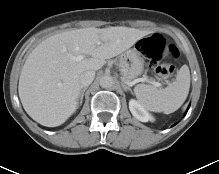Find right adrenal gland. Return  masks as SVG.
<instances>
[{
    "label": "right adrenal gland",
    "mask_w": 219,
    "mask_h": 174,
    "mask_svg": "<svg viewBox=\"0 0 219 174\" xmlns=\"http://www.w3.org/2000/svg\"><path fill=\"white\" fill-rule=\"evenodd\" d=\"M87 88H88V86H85V87L81 90V92H80V96H79V98H80V104H82L84 92L87 90Z\"/></svg>",
    "instance_id": "right-adrenal-gland-1"
}]
</instances>
